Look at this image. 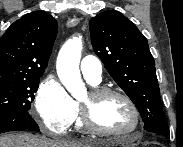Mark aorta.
<instances>
[{
    "label": "aorta",
    "instance_id": "obj_1",
    "mask_svg": "<svg viewBox=\"0 0 183 147\" xmlns=\"http://www.w3.org/2000/svg\"><path fill=\"white\" fill-rule=\"evenodd\" d=\"M81 50L82 38L80 36L69 39L62 46L56 65L61 83L75 98L83 95L86 90L79 70Z\"/></svg>",
    "mask_w": 183,
    "mask_h": 147
}]
</instances>
